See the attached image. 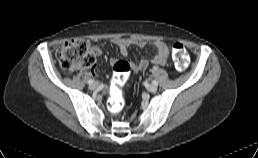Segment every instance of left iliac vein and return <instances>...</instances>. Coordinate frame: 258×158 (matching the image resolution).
<instances>
[{
	"label": "left iliac vein",
	"mask_w": 258,
	"mask_h": 158,
	"mask_svg": "<svg viewBox=\"0 0 258 158\" xmlns=\"http://www.w3.org/2000/svg\"><path fill=\"white\" fill-rule=\"evenodd\" d=\"M147 89H148L149 92L154 93V92L157 91L158 87H157V85L150 84V85L147 87Z\"/></svg>",
	"instance_id": "obj_1"
}]
</instances>
